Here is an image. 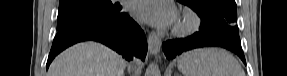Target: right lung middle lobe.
I'll list each match as a JSON object with an SVG mask.
<instances>
[{
  "label": "right lung middle lobe",
  "instance_id": "obj_1",
  "mask_svg": "<svg viewBox=\"0 0 287 76\" xmlns=\"http://www.w3.org/2000/svg\"><path fill=\"white\" fill-rule=\"evenodd\" d=\"M121 8L110 0H60L57 30L61 32L80 23L107 19L119 14Z\"/></svg>",
  "mask_w": 287,
  "mask_h": 76
}]
</instances>
